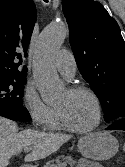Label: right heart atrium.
Listing matches in <instances>:
<instances>
[{"mask_svg": "<svg viewBox=\"0 0 125 167\" xmlns=\"http://www.w3.org/2000/svg\"><path fill=\"white\" fill-rule=\"evenodd\" d=\"M22 105L36 127L47 128L49 126L55 108L41 99L32 84H27L24 88Z\"/></svg>", "mask_w": 125, "mask_h": 167, "instance_id": "d8ad5b80", "label": "right heart atrium"}]
</instances>
